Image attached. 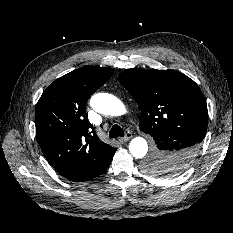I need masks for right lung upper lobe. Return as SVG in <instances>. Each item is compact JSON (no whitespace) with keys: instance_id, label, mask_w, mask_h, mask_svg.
<instances>
[{"instance_id":"1","label":"right lung upper lobe","mask_w":233,"mask_h":233,"mask_svg":"<svg viewBox=\"0 0 233 233\" xmlns=\"http://www.w3.org/2000/svg\"><path fill=\"white\" fill-rule=\"evenodd\" d=\"M113 74L108 67L85 66L55 80L36 106V135L49 164L63 177L96 170L116 148L102 142L85 112L89 97Z\"/></svg>"}]
</instances>
